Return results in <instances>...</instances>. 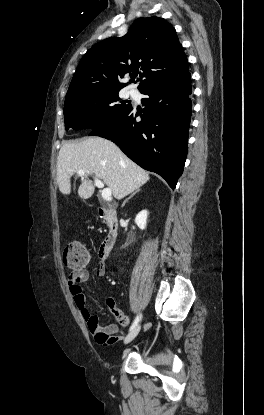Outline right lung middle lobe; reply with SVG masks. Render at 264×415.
<instances>
[{
    "mask_svg": "<svg viewBox=\"0 0 264 415\" xmlns=\"http://www.w3.org/2000/svg\"><path fill=\"white\" fill-rule=\"evenodd\" d=\"M119 99L118 92L85 94L65 99V128L75 130L95 129L114 120L132 105Z\"/></svg>",
    "mask_w": 264,
    "mask_h": 415,
    "instance_id": "1",
    "label": "right lung middle lobe"
}]
</instances>
